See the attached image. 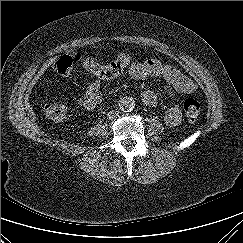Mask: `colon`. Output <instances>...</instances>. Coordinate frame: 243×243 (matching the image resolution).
<instances>
[{
  "mask_svg": "<svg viewBox=\"0 0 243 243\" xmlns=\"http://www.w3.org/2000/svg\"><path fill=\"white\" fill-rule=\"evenodd\" d=\"M130 63L131 58L128 54L119 55L107 64L97 63L92 58L81 54L63 55L54 64V71L61 76H68L76 68H81L100 79H112L122 74ZM183 109L191 123L197 121L201 107L196 99L187 98L183 103ZM44 112L50 120L61 122L66 117L67 107L62 102H51L45 105Z\"/></svg>",
  "mask_w": 243,
  "mask_h": 243,
  "instance_id": "1",
  "label": "colon"
}]
</instances>
